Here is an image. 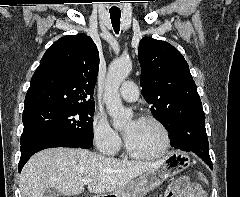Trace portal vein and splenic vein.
<instances>
[{
    "mask_svg": "<svg viewBox=\"0 0 240 197\" xmlns=\"http://www.w3.org/2000/svg\"><path fill=\"white\" fill-rule=\"evenodd\" d=\"M94 180L93 179H86V180H84L83 182L85 183V184H88V183H91V182H93Z\"/></svg>",
    "mask_w": 240,
    "mask_h": 197,
    "instance_id": "obj_1",
    "label": "portal vein and splenic vein"
}]
</instances>
